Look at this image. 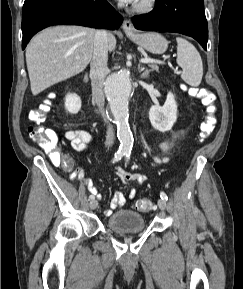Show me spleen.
<instances>
[{"label":"spleen","mask_w":243,"mask_h":289,"mask_svg":"<svg viewBox=\"0 0 243 289\" xmlns=\"http://www.w3.org/2000/svg\"><path fill=\"white\" fill-rule=\"evenodd\" d=\"M177 64L183 69L181 78L190 86L200 85L203 76L202 59L197 49L186 39L177 37Z\"/></svg>","instance_id":"spleen-1"}]
</instances>
